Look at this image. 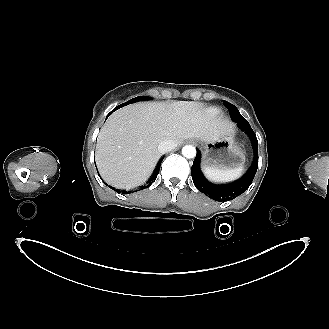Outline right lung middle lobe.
Instances as JSON below:
<instances>
[{
  "mask_svg": "<svg viewBox=\"0 0 329 329\" xmlns=\"http://www.w3.org/2000/svg\"><path fill=\"white\" fill-rule=\"evenodd\" d=\"M148 99H150V97H147V96H139V97L133 98V99H131V100H129V101H127V102H125V103L117 106L116 109H119V108H121V107H123L125 105H129L131 103H135V102L143 101V100H148Z\"/></svg>",
  "mask_w": 329,
  "mask_h": 329,
  "instance_id": "right-lung-middle-lobe-1",
  "label": "right lung middle lobe"
}]
</instances>
